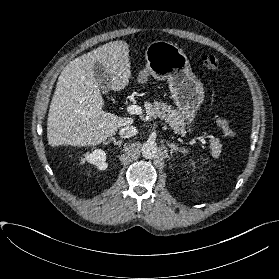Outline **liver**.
<instances>
[{
  "label": "liver",
  "instance_id": "6515ba94",
  "mask_svg": "<svg viewBox=\"0 0 279 279\" xmlns=\"http://www.w3.org/2000/svg\"><path fill=\"white\" fill-rule=\"evenodd\" d=\"M96 62L107 73L111 90L120 91L128 85L131 70L125 41L106 43L72 60L61 72L51 101L47 120L50 146L97 145L134 122L103 110L94 72Z\"/></svg>",
  "mask_w": 279,
  "mask_h": 279
}]
</instances>
